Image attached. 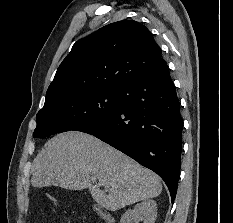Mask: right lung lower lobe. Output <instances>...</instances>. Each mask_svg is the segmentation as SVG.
<instances>
[{
	"label": "right lung lower lobe",
	"mask_w": 233,
	"mask_h": 223,
	"mask_svg": "<svg viewBox=\"0 0 233 223\" xmlns=\"http://www.w3.org/2000/svg\"><path fill=\"white\" fill-rule=\"evenodd\" d=\"M182 119L166 65L120 88L115 112L80 127L157 173L172 202L181 166Z\"/></svg>",
	"instance_id": "98d812e1"
}]
</instances>
